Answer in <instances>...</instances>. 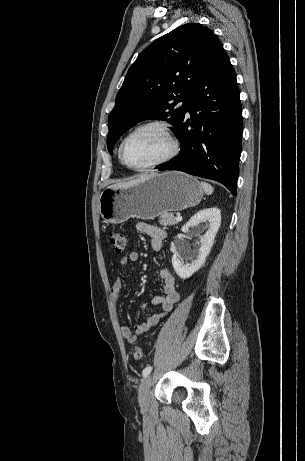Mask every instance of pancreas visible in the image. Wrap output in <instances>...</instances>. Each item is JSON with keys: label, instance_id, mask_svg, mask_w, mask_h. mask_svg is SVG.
<instances>
[{"label": "pancreas", "instance_id": "cf45deb5", "mask_svg": "<svg viewBox=\"0 0 305 461\" xmlns=\"http://www.w3.org/2000/svg\"><path fill=\"white\" fill-rule=\"evenodd\" d=\"M159 223L162 226H171L175 225L177 220L173 213L164 212L160 214Z\"/></svg>", "mask_w": 305, "mask_h": 461}]
</instances>
